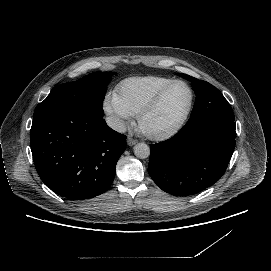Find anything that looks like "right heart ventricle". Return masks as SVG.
<instances>
[{"instance_id": "right-heart-ventricle-1", "label": "right heart ventricle", "mask_w": 271, "mask_h": 271, "mask_svg": "<svg viewBox=\"0 0 271 271\" xmlns=\"http://www.w3.org/2000/svg\"><path fill=\"white\" fill-rule=\"evenodd\" d=\"M173 80L161 75L131 77L118 84V97L128 113L136 117Z\"/></svg>"}]
</instances>
